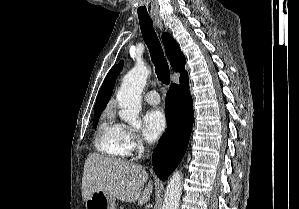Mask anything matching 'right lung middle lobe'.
Returning <instances> with one entry per match:
<instances>
[{"mask_svg": "<svg viewBox=\"0 0 299 209\" xmlns=\"http://www.w3.org/2000/svg\"><path fill=\"white\" fill-rule=\"evenodd\" d=\"M100 113H101V112H95V113H94L95 117H94V121H93V123H94V127H95V128H96V126H97V123H98V120H99Z\"/></svg>", "mask_w": 299, "mask_h": 209, "instance_id": "dd1d6c3e", "label": "right lung middle lobe"}]
</instances>
